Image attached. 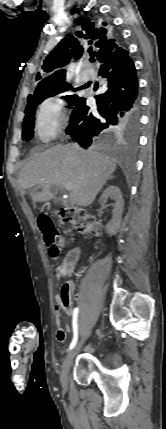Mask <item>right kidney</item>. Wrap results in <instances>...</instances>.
I'll return each instance as SVG.
<instances>
[{"instance_id": "obj_1", "label": "right kidney", "mask_w": 166, "mask_h": 429, "mask_svg": "<svg viewBox=\"0 0 166 429\" xmlns=\"http://www.w3.org/2000/svg\"><path fill=\"white\" fill-rule=\"evenodd\" d=\"M108 198H111L112 200L115 201V203L113 204L112 220L106 226V232L110 236H112V235H115L120 228L124 201H123V197L120 189L114 185H110L104 190V192L102 193L99 199V202L105 203Z\"/></svg>"}]
</instances>
